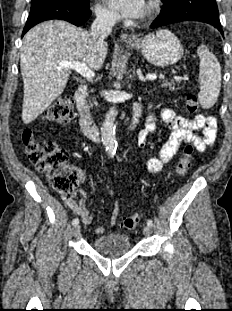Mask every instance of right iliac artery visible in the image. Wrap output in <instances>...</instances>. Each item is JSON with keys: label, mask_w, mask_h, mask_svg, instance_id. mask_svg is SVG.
<instances>
[{"label": "right iliac artery", "mask_w": 232, "mask_h": 311, "mask_svg": "<svg viewBox=\"0 0 232 311\" xmlns=\"http://www.w3.org/2000/svg\"><path fill=\"white\" fill-rule=\"evenodd\" d=\"M78 223H79V219L78 218L73 219V221H72L73 225H77Z\"/></svg>", "instance_id": "1"}]
</instances>
